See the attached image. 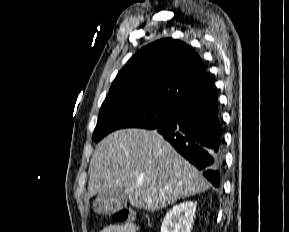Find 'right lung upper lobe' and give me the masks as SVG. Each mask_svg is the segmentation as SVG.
Wrapping results in <instances>:
<instances>
[{"mask_svg":"<svg viewBox=\"0 0 289 232\" xmlns=\"http://www.w3.org/2000/svg\"><path fill=\"white\" fill-rule=\"evenodd\" d=\"M141 96L180 108L217 98L200 56L177 39L155 41L133 55L106 97Z\"/></svg>","mask_w":289,"mask_h":232,"instance_id":"1","label":"right lung upper lobe"}]
</instances>
